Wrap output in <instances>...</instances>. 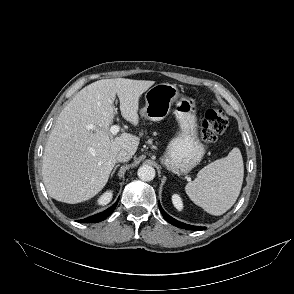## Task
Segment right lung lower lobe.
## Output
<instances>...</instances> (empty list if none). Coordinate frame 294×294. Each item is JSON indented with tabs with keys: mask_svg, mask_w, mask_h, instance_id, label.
Returning a JSON list of instances; mask_svg holds the SVG:
<instances>
[{
	"mask_svg": "<svg viewBox=\"0 0 294 294\" xmlns=\"http://www.w3.org/2000/svg\"><path fill=\"white\" fill-rule=\"evenodd\" d=\"M117 203H118V200H117V202H115L110 208H108L104 212L96 214V215L91 216V217H88V218L83 219V220H79L78 222H82V223L100 222V221L106 219L114 211V209L117 206Z\"/></svg>",
	"mask_w": 294,
	"mask_h": 294,
	"instance_id": "98d812e1",
	"label": "right lung lower lobe"
}]
</instances>
